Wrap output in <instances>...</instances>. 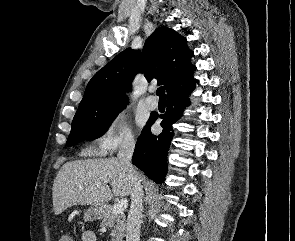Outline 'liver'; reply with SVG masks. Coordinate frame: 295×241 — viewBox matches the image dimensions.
Wrapping results in <instances>:
<instances>
[{
  "label": "liver",
  "mask_w": 295,
  "mask_h": 241,
  "mask_svg": "<svg viewBox=\"0 0 295 241\" xmlns=\"http://www.w3.org/2000/svg\"><path fill=\"white\" fill-rule=\"evenodd\" d=\"M131 192L128 171L118 158L66 162L53 183L54 213L59 215L73 205H104L113 196L126 197Z\"/></svg>",
  "instance_id": "obj_1"
}]
</instances>
